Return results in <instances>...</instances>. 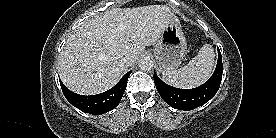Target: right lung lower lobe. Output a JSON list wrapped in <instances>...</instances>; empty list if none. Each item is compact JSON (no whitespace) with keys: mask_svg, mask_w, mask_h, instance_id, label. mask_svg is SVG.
<instances>
[{"mask_svg":"<svg viewBox=\"0 0 276 138\" xmlns=\"http://www.w3.org/2000/svg\"><path fill=\"white\" fill-rule=\"evenodd\" d=\"M131 71L126 73L121 80L111 89L91 96L76 94L67 89L60 81V85L66 99L76 108L93 115H101L114 109L120 102Z\"/></svg>","mask_w":276,"mask_h":138,"instance_id":"98d812e1","label":"right lung lower lobe"}]
</instances>
